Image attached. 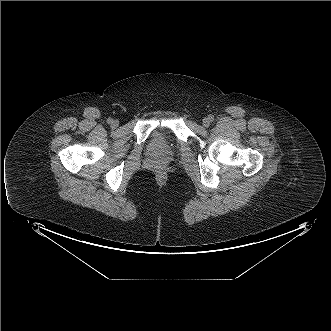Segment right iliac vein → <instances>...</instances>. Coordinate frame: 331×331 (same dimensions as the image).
Listing matches in <instances>:
<instances>
[{"mask_svg":"<svg viewBox=\"0 0 331 331\" xmlns=\"http://www.w3.org/2000/svg\"><path fill=\"white\" fill-rule=\"evenodd\" d=\"M118 125H119V121H118V120H113L112 123H111V126H112L113 128L118 127Z\"/></svg>","mask_w":331,"mask_h":331,"instance_id":"63e3f726","label":"right iliac vein"}]
</instances>
